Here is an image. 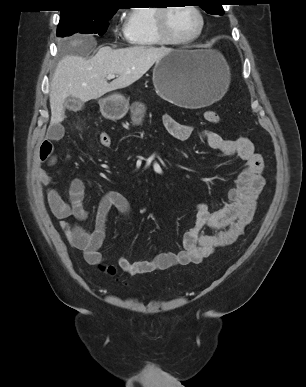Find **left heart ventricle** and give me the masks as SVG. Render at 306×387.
I'll list each match as a JSON object with an SVG mask.
<instances>
[{
	"mask_svg": "<svg viewBox=\"0 0 306 387\" xmlns=\"http://www.w3.org/2000/svg\"><path fill=\"white\" fill-rule=\"evenodd\" d=\"M168 29L177 39L192 36L198 29L199 19L196 13L188 6L172 7L168 14Z\"/></svg>",
	"mask_w": 306,
	"mask_h": 387,
	"instance_id": "left-heart-ventricle-1",
	"label": "left heart ventricle"
}]
</instances>
